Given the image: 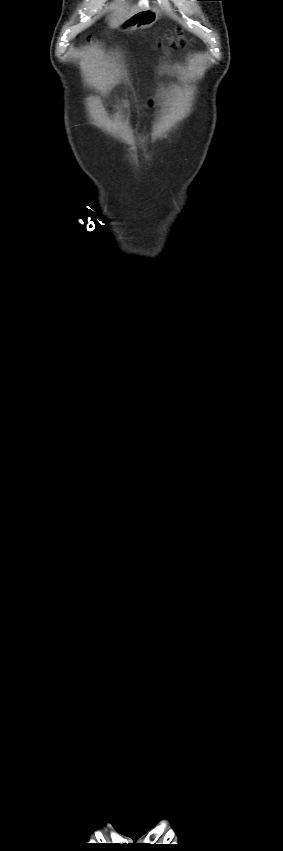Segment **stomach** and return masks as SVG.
Here are the masks:
<instances>
[{
    "mask_svg": "<svg viewBox=\"0 0 283 851\" xmlns=\"http://www.w3.org/2000/svg\"><path fill=\"white\" fill-rule=\"evenodd\" d=\"M159 18L156 9L140 10L118 24V29L121 31H134L137 29H145L151 27Z\"/></svg>",
    "mask_w": 283,
    "mask_h": 851,
    "instance_id": "0dacf381",
    "label": "stomach"
}]
</instances>
